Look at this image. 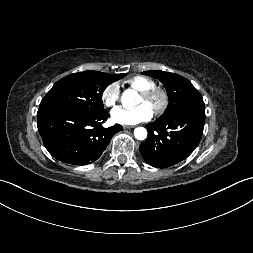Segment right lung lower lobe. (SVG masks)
I'll use <instances>...</instances> for the list:
<instances>
[{"mask_svg": "<svg viewBox=\"0 0 253 253\" xmlns=\"http://www.w3.org/2000/svg\"><path fill=\"white\" fill-rule=\"evenodd\" d=\"M109 117L105 110L99 114L60 108H39L38 131L48 152L57 160L72 165L96 161L109 141L123 127L101 126Z\"/></svg>", "mask_w": 253, "mask_h": 253, "instance_id": "obj_1", "label": "right lung lower lobe"}]
</instances>
